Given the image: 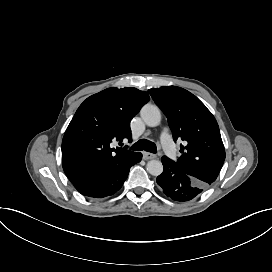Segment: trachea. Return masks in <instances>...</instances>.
<instances>
[{"label": "trachea", "mask_w": 272, "mask_h": 272, "mask_svg": "<svg viewBox=\"0 0 272 272\" xmlns=\"http://www.w3.org/2000/svg\"><path fill=\"white\" fill-rule=\"evenodd\" d=\"M132 150H145L147 152H151V153H156V145L149 141V140H146V139H141L139 141H137L132 147H131Z\"/></svg>", "instance_id": "3493384b"}]
</instances>
